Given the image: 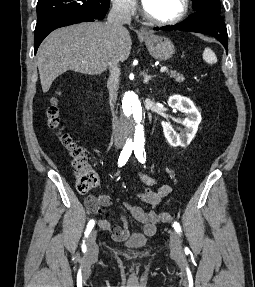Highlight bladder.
<instances>
[{"label":"bladder","instance_id":"31cf9c89","mask_svg":"<svg viewBox=\"0 0 255 287\" xmlns=\"http://www.w3.org/2000/svg\"><path fill=\"white\" fill-rule=\"evenodd\" d=\"M124 243L131 248L143 247L147 243V237L143 233L135 232L127 237Z\"/></svg>","mask_w":255,"mask_h":287}]
</instances>
